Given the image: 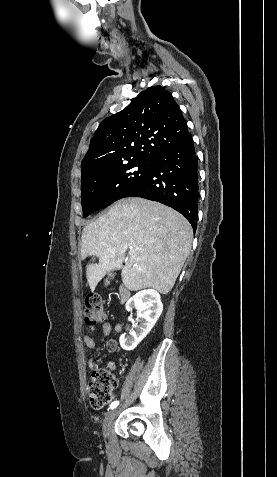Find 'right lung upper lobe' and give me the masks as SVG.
Listing matches in <instances>:
<instances>
[{"label": "right lung upper lobe", "mask_w": 277, "mask_h": 477, "mask_svg": "<svg viewBox=\"0 0 277 477\" xmlns=\"http://www.w3.org/2000/svg\"><path fill=\"white\" fill-rule=\"evenodd\" d=\"M188 135L186 120L171 93L152 86L100 123L81 170L151 161Z\"/></svg>", "instance_id": "right-lung-upper-lobe-1"}]
</instances>
